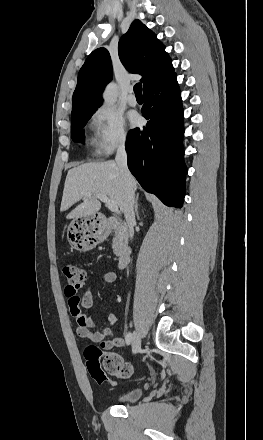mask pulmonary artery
I'll use <instances>...</instances> for the list:
<instances>
[{
	"instance_id": "obj_1",
	"label": "pulmonary artery",
	"mask_w": 263,
	"mask_h": 440,
	"mask_svg": "<svg viewBox=\"0 0 263 440\" xmlns=\"http://www.w3.org/2000/svg\"><path fill=\"white\" fill-rule=\"evenodd\" d=\"M127 102L130 106H136L137 105V99L135 95L133 94L132 89L130 90L128 96H127Z\"/></svg>"
}]
</instances>
